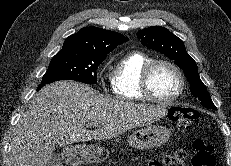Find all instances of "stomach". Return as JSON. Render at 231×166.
Here are the masks:
<instances>
[{"label":"stomach","mask_w":231,"mask_h":166,"mask_svg":"<svg viewBox=\"0 0 231 166\" xmlns=\"http://www.w3.org/2000/svg\"><path fill=\"white\" fill-rule=\"evenodd\" d=\"M170 137V130L161 125H150L134 131L128 136V144L140 150L164 145ZM63 159L70 164L100 163L108 156V151L97 145H74L64 148Z\"/></svg>","instance_id":"0dacf381"}]
</instances>
